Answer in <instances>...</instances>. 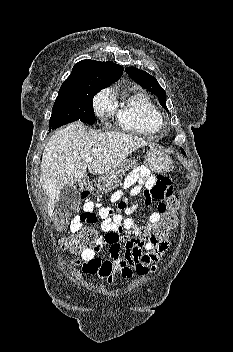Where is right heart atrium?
Masks as SVG:
<instances>
[{
	"instance_id": "d8ad5b80",
	"label": "right heart atrium",
	"mask_w": 233,
	"mask_h": 352,
	"mask_svg": "<svg viewBox=\"0 0 233 352\" xmlns=\"http://www.w3.org/2000/svg\"><path fill=\"white\" fill-rule=\"evenodd\" d=\"M93 107L95 114L104 119L110 116L116 107L114 96L110 89H104L99 92L93 101Z\"/></svg>"
}]
</instances>
